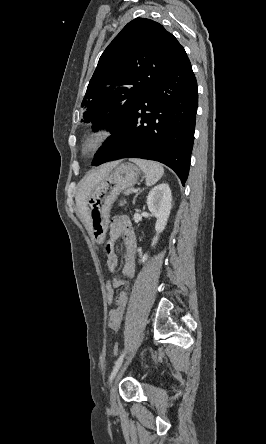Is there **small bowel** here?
Here are the masks:
<instances>
[{
	"mask_svg": "<svg viewBox=\"0 0 266 444\" xmlns=\"http://www.w3.org/2000/svg\"><path fill=\"white\" fill-rule=\"evenodd\" d=\"M120 237H122L125 246V257L121 272L123 276L132 278L135 274L136 240L129 219L123 215L116 216L112 219L109 237L105 246L107 255L106 266L112 273L117 271L119 265V257L115 251V243ZM113 283L115 288H120L125 285L124 280L119 277H114ZM127 302L128 294L127 290H124L118 295L115 307L109 311L108 325L112 332H117L120 329Z\"/></svg>",
	"mask_w": 266,
	"mask_h": 444,
	"instance_id": "c3829d8e",
	"label": "small bowel"
}]
</instances>
